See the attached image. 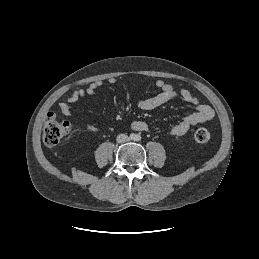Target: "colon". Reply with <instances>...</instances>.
<instances>
[{
	"instance_id": "obj_1",
	"label": "colon",
	"mask_w": 259,
	"mask_h": 259,
	"mask_svg": "<svg viewBox=\"0 0 259 259\" xmlns=\"http://www.w3.org/2000/svg\"><path fill=\"white\" fill-rule=\"evenodd\" d=\"M70 123L58 120L53 112L49 113L43 129V141L47 146H55L62 142L70 132ZM196 143H206L210 139V132L205 128L197 129L193 134Z\"/></svg>"
}]
</instances>
